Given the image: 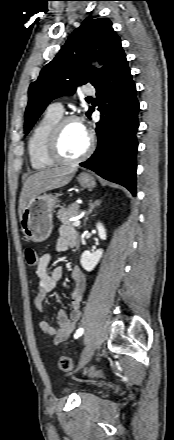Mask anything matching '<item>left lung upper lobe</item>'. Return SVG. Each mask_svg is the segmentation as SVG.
Segmentation results:
<instances>
[{"label":"left lung upper lobe","mask_w":174,"mask_h":440,"mask_svg":"<svg viewBox=\"0 0 174 440\" xmlns=\"http://www.w3.org/2000/svg\"><path fill=\"white\" fill-rule=\"evenodd\" d=\"M121 51V40L108 18L85 19L69 36L57 56L44 66L38 79L30 85L25 111V133L30 131L53 99L72 95L77 86L88 82L95 86L108 64ZM91 60H98L104 65V70L91 67Z\"/></svg>","instance_id":"5c2ea615"}]
</instances>
